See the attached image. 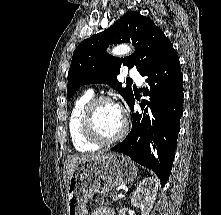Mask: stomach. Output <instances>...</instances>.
<instances>
[{"mask_svg":"<svg viewBox=\"0 0 221 215\" xmlns=\"http://www.w3.org/2000/svg\"><path fill=\"white\" fill-rule=\"evenodd\" d=\"M138 167L118 153H107L78 163L67 185V214L88 215L86 204L95 193H108L114 187L137 178Z\"/></svg>","mask_w":221,"mask_h":215,"instance_id":"1","label":"stomach"}]
</instances>
